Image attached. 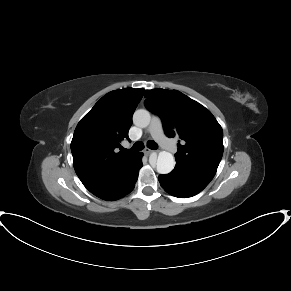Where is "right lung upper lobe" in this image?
<instances>
[{
	"mask_svg": "<svg viewBox=\"0 0 291 291\" xmlns=\"http://www.w3.org/2000/svg\"><path fill=\"white\" fill-rule=\"evenodd\" d=\"M143 94V88L111 91L78 123L71 151L74 169L84 185L114 176L137 155L118 148L128 138L132 115Z\"/></svg>",
	"mask_w": 291,
	"mask_h": 291,
	"instance_id": "cb5924a9",
	"label": "right lung upper lobe"
}]
</instances>
